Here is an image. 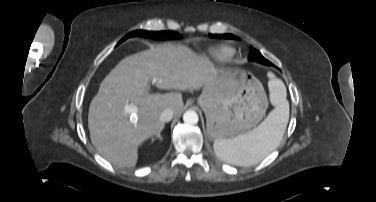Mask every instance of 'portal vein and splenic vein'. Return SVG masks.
<instances>
[{
    "mask_svg": "<svg viewBox=\"0 0 376 202\" xmlns=\"http://www.w3.org/2000/svg\"><path fill=\"white\" fill-rule=\"evenodd\" d=\"M153 81H155V79ZM126 109H127V111L132 112V111L135 110V107L133 105H129V106L126 107Z\"/></svg>",
    "mask_w": 376,
    "mask_h": 202,
    "instance_id": "obj_1",
    "label": "portal vein and splenic vein"
}]
</instances>
